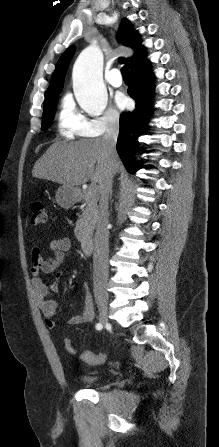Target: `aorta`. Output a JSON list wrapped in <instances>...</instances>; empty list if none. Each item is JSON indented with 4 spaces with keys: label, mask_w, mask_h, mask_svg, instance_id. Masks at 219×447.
Segmentation results:
<instances>
[{
    "label": "aorta",
    "mask_w": 219,
    "mask_h": 447,
    "mask_svg": "<svg viewBox=\"0 0 219 447\" xmlns=\"http://www.w3.org/2000/svg\"><path fill=\"white\" fill-rule=\"evenodd\" d=\"M103 55L91 45L78 56L73 67V88L79 106L90 115H101L108 101L102 78Z\"/></svg>",
    "instance_id": "1"
}]
</instances>
